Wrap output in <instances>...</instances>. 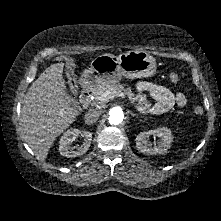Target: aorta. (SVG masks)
<instances>
[{"mask_svg":"<svg viewBox=\"0 0 221 221\" xmlns=\"http://www.w3.org/2000/svg\"><path fill=\"white\" fill-rule=\"evenodd\" d=\"M108 115V120L111 125H119L124 119V113L120 107L111 108Z\"/></svg>","mask_w":221,"mask_h":221,"instance_id":"aorta-1","label":"aorta"}]
</instances>
